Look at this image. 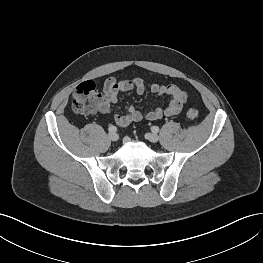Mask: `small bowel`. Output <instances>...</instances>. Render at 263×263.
Instances as JSON below:
<instances>
[{
  "mask_svg": "<svg viewBox=\"0 0 263 263\" xmlns=\"http://www.w3.org/2000/svg\"><path fill=\"white\" fill-rule=\"evenodd\" d=\"M152 94L157 96H169L170 102L165 108H157L153 111L144 112L141 108L130 106L123 114H116L113 117L114 122L119 127H126L133 122L147 119L155 121L161 119L163 116H175L179 114L187 101V94L179 86L175 84H159L152 83L149 86ZM133 91L138 95H142L146 91V85L142 78L136 77L133 79H117L109 77L104 81L102 94L100 95L96 109L93 113L101 115L108 114L111 105L119 102L120 94L122 92Z\"/></svg>",
  "mask_w": 263,
  "mask_h": 263,
  "instance_id": "c3829d8e",
  "label": "small bowel"
}]
</instances>
